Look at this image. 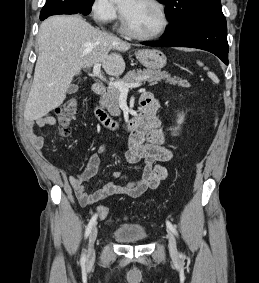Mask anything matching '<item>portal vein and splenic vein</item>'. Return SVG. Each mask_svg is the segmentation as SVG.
Masks as SVG:
<instances>
[{
  "instance_id": "portal-vein-and-splenic-vein-1",
  "label": "portal vein and splenic vein",
  "mask_w": 259,
  "mask_h": 283,
  "mask_svg": "<svg viewBox=\"0 0 259 283\" xmlns=\"http://www.w3.org/2000/svg\"><path fill=\"white\" fill-rule=\"evenodd\" d=\"M93 75L100 78L102 81H106V79L101 74V65L99 63L94 64ZM108 85L117 88L122 93H128L129 88L140 87L142 83L136 82V83L127 84L122 81H115V82H109Z\"/></svg>"
}]
</instances>
